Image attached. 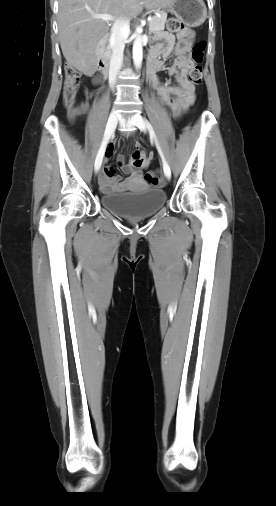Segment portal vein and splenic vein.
Masks as SVG:
<instances>
[{
  "label": "portal vein and splenic vein",
  "mask_w": 276,
  "mask_h": 506,
  "mask_svg": "<svg viewBox=\"0 0 276 506\" xmlns=\"http://www.w3.org/2000/svg\"><path fill=\"white\" fill-rule=\"evenodd\" d=\"M93 16H94L95 18L102 19V20H105V21H113V20H115V17H113V16H111V15H107V14H104V15H98V14H96V15H93ZM148 21H149V22H150V21H152V18H151V17H149V18H148Z\"/></svg>",
  "instance_id": "obj_1"
}]
</instances>
